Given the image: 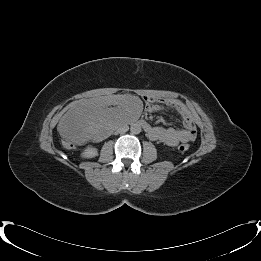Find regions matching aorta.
Instances as JSON below:
<instances>
[{
	"label": "aorta",
	"instance_id": "762f6f07",
	"mask_svg": "<svg viewBox=\"0 0 261 261\" xmlns=\"http://www.w3.org/2000/svg\"><path fill=\"white\" fill-rule=\"evenodd\" d=\"M141 125L140 124H138V123H134V124H132L131 125V127H130V131H131V133L132 134H139L140 132H141Z\"/></svg>",
	"mask_w": 261,
	"mask_h": 261
}]
</instances>
